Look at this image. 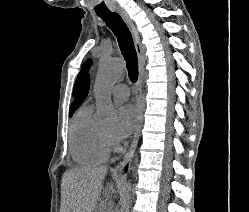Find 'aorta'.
<instances>
[{"mask_svg": "<svg viewBox=\"0 0 249 212\" xmlns=\"http://www.w3.org/2000/svg\"><path fill=\"white\" fill-rule=\"evenodd\" d=\"M124 61L121 59H108L100 63L97 72L94 92L97 99V115L103 121H112L117 112L112 104L110 90L124 70ZM131 184L125 182L120 197L119 212H129Z\"/></svg>", "mask_w": 249, "mask_h": 212, "instance_id": "aorta-1", "label": "aorta"}]
</instances>
